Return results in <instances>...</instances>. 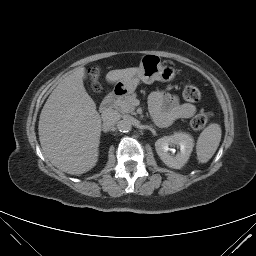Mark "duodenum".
<instances>
[{"mask_svg": "<svg viewBox=\"0 0 256 256\" xmlns=\"http://www.w3.org/2000/svg\"><path fill=\"white\" fill-rule=\"evenodd\" d=\"M126 93V91L124 89L121 88H117L115 89L113 92H111L101 103L100 105V111L103 114L108 113L114 106V104L116 103V101L124 96Z\"/></svg>", "mask_w": 256, "mask_h": 256, "instance_id": "duodenum-1", "label": "duodenum"}]
</instances>
